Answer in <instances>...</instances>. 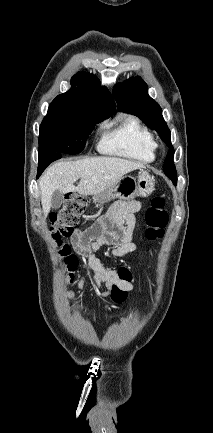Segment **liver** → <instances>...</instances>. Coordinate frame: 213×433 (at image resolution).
I'll return each instance as SVG.
<instances>
[{
  "label": "liver",
  "instance_id": "liver-1",
  "mask_svg": "<svg viewBox=\"0 0 213 433\" xmlns=\"http://www.w3.org/2000/svg\"><path fill=\"white\" fill-rule=\"evenodd\" d=\"M144 168L142 163L118 157H92L77 161L53 164L41 176L39 187L43 213L48 215L54 191L63 194L78 192L80 195H98L110 188L125 174ZM80 179L78 186L75 181Z\"/></svg>",
  "mask_w": 213,
  "mask_h": 433
}]
</instances>
